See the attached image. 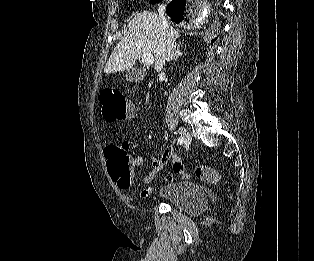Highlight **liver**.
<instances>
[{
  "instance_id": "1",
  "label": "liver",
  "mask_w": 314,
  "mask_h": 261,
  "mask_svg": "<svg viewBox=\"0 0 314 261\" xmlns=\"http://www.w3.org/2000/svg\"><path fill=\"white\" fill-rule=\"evenodd\" d=\"M170 29L174 38H178L179 32ZM165 39L166 30L158 14L150 11L137 13L129 22L128 32L112 52L104 72L110 74L132 69L143 53L154 55V70L160 72L165 64Z\"/></svg>"
}]
</instances>
